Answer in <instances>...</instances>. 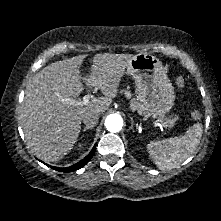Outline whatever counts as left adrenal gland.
Segmentation results:
<instances>
[{
    "mask_svg": "<svg viewBox=\"0 0 221 221\" xmlns=\"http://www.w3.org/2000/svg\"><path fill=\"white\" fill-rule=\"evenodd\" d=\"M130 120H131V126L129 127V129H132V131L134 132V121H133V118L130 117Z\"/></svg>",
    "mask_w": 221,
    "mask_h": 221,
    "instance_id": "1",
    "label": "left adrenal gland"
}]
</instances>
